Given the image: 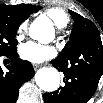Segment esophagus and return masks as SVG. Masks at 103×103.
I'll return each instance as SVG.
<instances>
[{
  "mask_svg": "<svg viewBox=\"0 0 103 103\" xmlns=\"http://www.w3.org/2000/svg\"><path fill=\"white\" fill-rule=\"evenodd\" d=\"M42 65H40V64H33V68L35 69V70H37L38 68H40Z\"/></svg>",
  "mask_w": 103,
  "mask_h": 103,
  "instance_id": "1",
  "label": "esophagus"
}]
</instances>
